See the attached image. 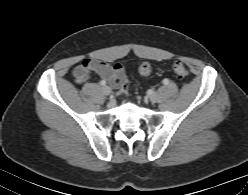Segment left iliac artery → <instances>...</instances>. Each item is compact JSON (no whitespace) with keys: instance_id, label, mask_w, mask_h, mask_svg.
I'll return each mask as SVG.
<instances>
[{"instance_id":"44dca946","label":"left iliac artery","mask_w":248,"mask_h":195,"mask_svg":"<svg viewBox=\"0 0 248 195\" xmlns=\"http://www.w3.org/2000/svg\"><path fill=\"white\" fill-rule=\"evenodd\" d=\"M163 83H164L165 85H167V84L169 83V80H168V79H164V80H163Z\"/></svg>"}]
</instances>
